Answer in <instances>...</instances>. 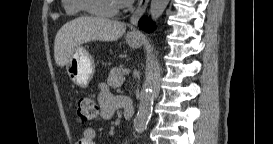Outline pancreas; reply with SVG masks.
Returning <instances> with one entry per match:
<instances>
[{"label":"pancreas","instance_id":"cf45deb5","mask_svg":"<svg viewBox=\"0 0 273 144\" xmlns=\"http://www.w3.org/2000/svg\"><path fill=\"white\" fill-rule=\"evenodd\" d=\"M123 71V66L114 67L113 69H111L107 79L108 85L113 88L120 87L125 81Z\"/></svg>","mask_w":273,"mask_h":144}]
</instances>
